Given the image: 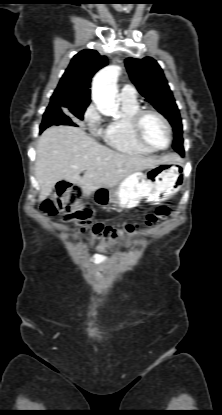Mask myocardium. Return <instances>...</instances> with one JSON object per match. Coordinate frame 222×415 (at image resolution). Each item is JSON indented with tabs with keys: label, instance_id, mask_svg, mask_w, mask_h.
<instances>
[{
	"label": "myocardium",
	"instance_id": "1",
	"mask_svg": "<svg viewBox=\"0 0 222 415\" xmlns=\"http://www.w3.org/2000/svg\"><path fill=\"white\" fill-rule=\"evenodd\" d=\"M149 114H153L155 116H157L165 125L166 129H167V133H168V142L166 144V146L164 147H157L153 144H151L149 141L146 140V138L144 137L143 131H142V123H143V119L146 115ZM131 125H132V130L133 133L136 137V139L145 147L153 150V151H162L167 149L171 143H172V139H173V132H172V127L171 124L169 122V120L167 119V117L162 114L160 111H158L157 109L154 108H141L139 109L132 117L131 120Z\"/></svg>",
	"mask_w": 222,
	"mask_h": 415
}]
</instances>
